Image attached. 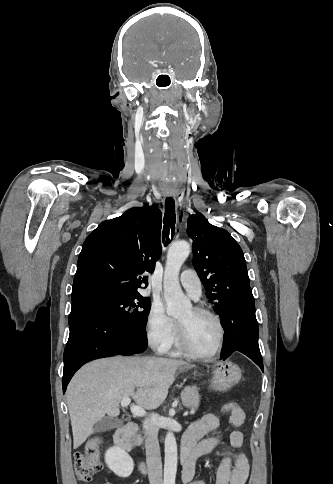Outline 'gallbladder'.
Listing matches in <instances>:
<instances>
[{"label":"gallbladder","mask_w":333,"mask_h":484,"mask_svg":"<svg viewBox=\"0 0 333 484\" xmlns=\"http://www.w3.org/2000/svg\"><path fill=\"white\" fill-rule=\"evenodd\" d=\"M123 425V420L118 419L116 417H103L100 421H98L95 426L94 430L96 432H107L112 429H116Z\"/></svg>","instance_id":"1"}]
</instances>
